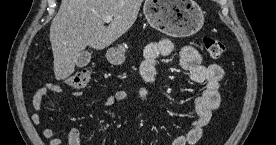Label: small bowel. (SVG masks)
Returning <instances> with one entry per match:
<instances>
[{
	"mask_svg": "<svg viewBox=\"0 0 276 145\" xmlns=\"http://www.w3.org/2000/svg\"><path fill=\"white\" fill-rule=\"evenodd\" d=\"M174 50L173 43L168 39H162L150 43L144 51V60L141 62L139 71L146 83L154 80L156 74V63L160 56H168ZM180 65L188 71L190 78L196 83H203L204 88L195 99L196 118L192 122L191 129L186 133L176 137L171 145H194L202 136L204 128L211 120L213 112L220 107L221 97L219 94L220 82L224 77V71L218 64L212 63L203 65L199 52L192 46H184L180 50ZM62 88L56 83H48L36 91L32 98V107L35 112L31 115V121L35 125L42 122L40 111L43 107L44 97L48 93H60ZM74 97H82L83 92L74 90ZM137 97L144 102L147 98V89L142 87L138 90ZM128 99V93L117 91L107 96L104 100L105 107H111L117 102ZM43 137L49 145H63L60 138L55 135L51 128L43 130ZM82 131L79 128H71L68 136V145H81Z\"/></svg>",
	"mask_w": 276,
	"mask_h": 145,
	"instance_id": "1",
	"label": "small bowel"
}]
</instances>
